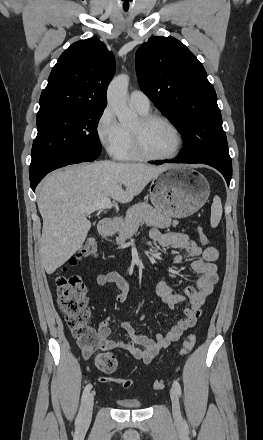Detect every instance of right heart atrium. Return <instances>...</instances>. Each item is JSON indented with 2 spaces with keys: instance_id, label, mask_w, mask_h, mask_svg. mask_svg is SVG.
I'll use <instances>...</instances> for the list:
<instances>
[{
  "instance_id": "obj_1",
  "label": "right heart atrium",
  "mask_w": 263,
  "mask_h": 440,
  "mask_svg": "<svg viewBox=\"0 0 263 440\" xmlns=\"http://www.w3.org/2000/svg\"><path fill=\"white\" fill-rule=\"evenodd\" d=\"M95 128L97 138L106 152L117 155L125 140V130L109 106L101 111Z\"/></svg>"
}]
</instances>
